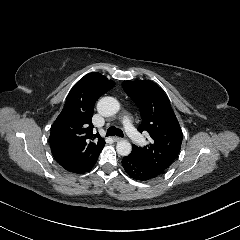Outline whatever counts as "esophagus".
I'll list each match as a JSON object with an SVG mask.
<instances>
[{
    "instance_id": "34e87169",
    "label": "esophagus",
    "mask_w": 240,
    "mask_h": 240,
    "mask_svg": "<svg viewBox=\"0 0 240 240\" xmlns=\"http://www.w3.org/2000/svg\"><path fill=\"white\" fill-rule=\"evenodd\" d=\"M113 140H114L115 142H119V141H122L123 138H121V137H113Z\"/></svg>"
}]
</instances>
